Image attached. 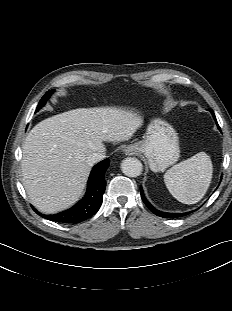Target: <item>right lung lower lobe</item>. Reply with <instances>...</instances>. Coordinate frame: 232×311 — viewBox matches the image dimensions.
Returning a JSON list of instances; mask_svg holds the SVG:
<instances>
[{"instance_id":"right-lung-lower-lobe-1","label":"right lung lower lobe","mask_w":232,"mask_h":311,"mask_svg":"<svg viewBox=\"0 0 232 311\" xmlns=\"http://www.w3.org/2000/svg\"><path fill=\"white\" fill-rule=\"evenodd\" d=\"M109 164L110 160L107 158L94 166L89 176L87 192L84 198L67 211L53 215H44L33 209L40 216L60 223L77 224L88 219L99 210L102 204L106 185L104 173Z\"/></svg>"}]
</instances>
